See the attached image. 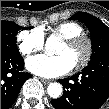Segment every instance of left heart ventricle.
I'll use <instances>...</instances> for the list:
<instances>
[{"instance_id":"left-heart-ventricle-1","label":"left heart ventricle","mask_w":109,"mask_h":109,"mask_svg":"<svg viewBox=\"0 0 109 109\" xmlns=\"http://www.w3.org/2000/svg\"><path fill=\"white\" fill-rule=\"evenodd\" d=\"M86 52V46L83 42L78 43L74 46H68L64 42L59 47L57 54L66 55L73 65H76L81 61Z\"/></svg>"}]
</instances>
